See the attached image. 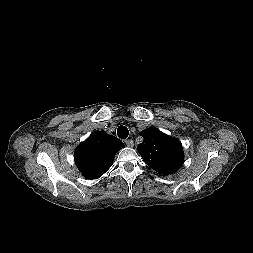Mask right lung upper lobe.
Returning a JSON list of instances; mask_svg holds the SVG:
<instances>
[{"mask_svg": "<svg viewBox=\"0 0 253 253\" xmlns=\"http://www.w3.org/2000/svg\"><path fill=\"white\" fill-rule=\"evenodd\" d=\"M123 147L115 136L96 131L76 148L75 163L85 178L97 179L112 166L115 154Z\"/></svg>", "mask_w": 253, "mask_h": 253, "instance_id": "obj_1", "label": "right lung upper lobe"}]
</instances>
